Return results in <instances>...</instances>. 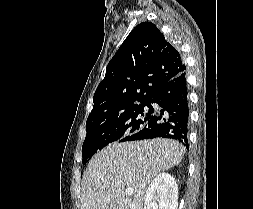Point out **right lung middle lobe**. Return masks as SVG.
<instances>
[{
  "instance_id": "dd1d6c3e",
  "label": "right lung middle lobe",
  "mask_w": 253,
  "mask_h": 209,
  "mask_svg": "<svg viewBox=\"0 0 253 209\" xmlns=\"http://www.w3.org/2000/svg\"><path fill=\"white\" fill-rule=\"evenodd\" d=\"M149 103L139 104L122 112L87 119V135L82 146L83 164L108 144L126 141L139 132L152 117Z\"/></svg>"
}]
</instances>
